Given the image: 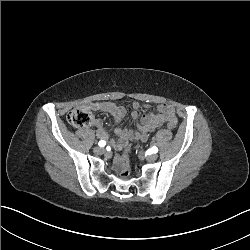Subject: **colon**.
<instances>
[{
    "label": "colon",
    "mask_w": 250,
    "mask_h": 250,
    "mask_svg": "<svg viewBox=\"0 0 250 250\" xmlns=\"http://www.w3.org/2000/svg\"><path fill=\"white\" fill-rule=\"evenodd\" d=\"M67 122L74 128H83L89 126L93 122V115L91 112L83 107L73 108L67 114ZM167 128L172 132L178 131V123L174 120H169L167 123ZM131 151L130 145H125L123 152L121 153V165L123 166L122 175L126 176L129 174L127 169L128 158Z\"/></svg>",
    "instance_id": "5ec220e1"
}]
</instances>
